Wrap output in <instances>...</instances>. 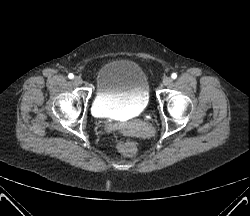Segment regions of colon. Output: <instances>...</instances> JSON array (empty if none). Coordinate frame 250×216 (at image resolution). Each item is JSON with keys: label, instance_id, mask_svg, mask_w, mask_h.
<instances>
[{"label": "colon", "instance_id": "obj_1", "mask_svg": "<svg viewBox=\"0 0 250 216\" xmlns=\"http://www.w3.org/2000/svg\"><path fill=\"white\" fill-rule=\"evenodd\" d=\"M117 148L120 153L127 156H132L137 152L136 143L126 139H119L117 143Z\"/></svg>", "mask_w": 250, "mask_h": 216}]
</instances>
